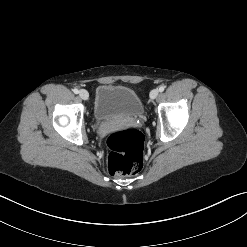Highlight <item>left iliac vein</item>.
<instances>
[{"label":"left iliac vein","mask_w":247,"mask_h":247,"mask_svg":"<svg viewBox=\"0 0 247 247\" xmlns=\"http://www.w3.org/2000/svg\"><path fill=\"white\" fill-rule=\"evenodd\" d=\"M158 89H153L151 92H150V98L151 99H155L157 96H158Z\"/></svg>","instance_id":"1"}]
</instances>
